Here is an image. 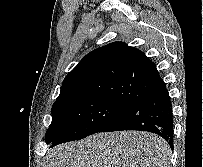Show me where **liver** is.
<instances>
[{"label": "liver", "instance_id": "obj_1", "mask_svg": "<svg viewBox=\"0 0 203 167\" xmlns=\"http://www.w3.org/2000/svg\"><path fill=\"white\" fill-rule=\"evenodd\" d=\"M161 137L141 131L97 133L51 149L45 167H170Z\"/></svg>", "mask_w": 203, "mask_h": 167}]
</instances>
